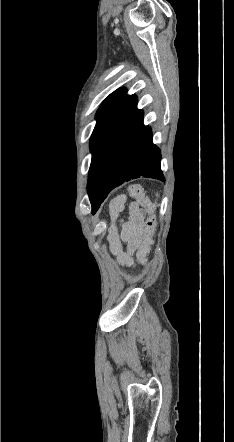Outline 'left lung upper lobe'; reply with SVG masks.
Instances as JSON below:
<instances>
[{
    "label": "left lung upper lobe",
    "instance_id": "obj_1",
    "mask_svg": "<svg viewBox=\"0 0 234 442\" xmlns=\"http://www.w3.org/2000/svg\"><path fill=\"white\" fill-rule=\"evenodd\" d=\"M126 90L124 88L117 89L111 93L101 104L96 114L97 125L120 103L125 97ZM95 127V128H96Z\"/></svg>",
    "mask_w": 234,
    "mask_h": 442
}]
</instances>
